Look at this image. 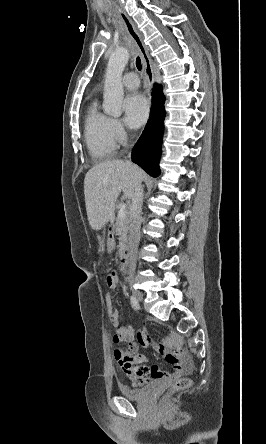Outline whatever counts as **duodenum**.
Here are the masks:
<instances>
[{
  "label": "duodenum",
  "mask_w": 266,
  "mask_h": 444,
  "mask_svg": "<svg viewBox=\"0 0 266 444\" xmlns=\"http://www.w3.org/2000/svg\"><path fill=\"white\" fill-rule=\"evenodd\" d=\"M113 238H114V236H113V232H111V239H113ZM121 271H122L123 273H126V272H127V262H126V261H124V262L122 263Z\"/></svg>",
  "instance_id": "obj_1"
}]
</instances>
